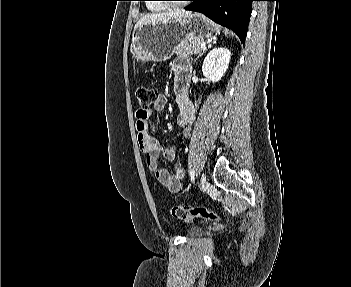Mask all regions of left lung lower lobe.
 I'll list each match as a JSON object with an SVG mask.
<instances>
[{"instance_id": "left-lung-lower-lobe-1", "label": "left lung lower lobe", "mask_w": 351, "mask_h": 287, "mask_svg": "<svg viewBox=\"0 0 351 287\" xmlns=\"http://www.w3.org/2000/svg\"><path fill=\"white\" fill-rule=\"evenodd\" d=\"M186 10L200 12L214 22L233 30L244 43L255 0H191Z\"/></svg>"}]
</instances>
